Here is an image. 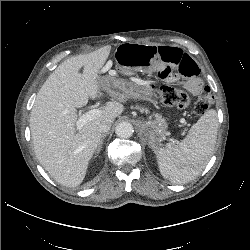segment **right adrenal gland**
<instances>
[{
  "instance_id": "right-adrenal-gland-1",
  "label": "right adrenal gland",
  "mask_w": 250,
  "mask_h": 250,
  "mask_svg": "<svg viewBox=\"0 0 250 250\" xmlns=\"http://www.w3.org/2000/svg\"><path fill=\"white\" fill-rule=\"evenodd\" d=\"M107 135H108V134L105 133V134H103V135L101 136V140H100V142H99V144H98V147H97V149H96V154H98V153L101 151V148H102V145H103V141H104V139H105V137H106Z\"/></svg>"
}]
</instances>
